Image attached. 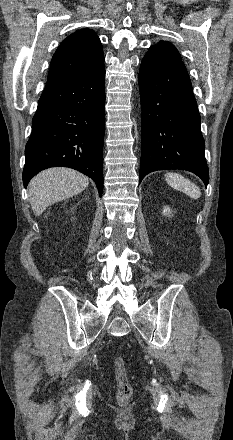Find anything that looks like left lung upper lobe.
Returning <instances> with one entry per match:
<instances>
[{"label": "left lung upper lobe", "instance_id": "obj_1", "mask_svg": "<svg viewBox=\"0 0 233 440\" xmlns=\"http://www.w3.org/2000/svg\"><path fill=\"white\" fill-rule=\"evenodd\" d=\"M151 53L164 54L170 57L180 59V55L174 45L166 41H160L158 45L151 46L149 51Z\"/></svg>", "mask_w": 233, "mask_h": 440}]
</instances>
